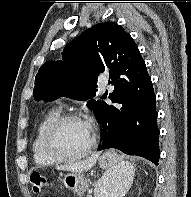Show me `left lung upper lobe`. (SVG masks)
Instances as JSON below:
<instances>
[{
	"label": "left lung upper lobe",
	"mask_w": 191,
	"mask_h": 197,
	"mask_svg": "<svg viewBox=\"0 0 191 197\" xmlns=\"http://www.w3.org/2000/svg\"><path fill=\"white\" fill-rule=\"evenodd\" d=\"M62 54L63 61H47L40 67L35 78V100L49 102L61 96L91 99L101 72L109 71L111 77L145 67L132 37L114 22L99 23L85 30L65 46ZM104 104L87 102L96 117Z\"/></svg>",
	"instance_id": "left-lung-upper-lobe-1"
}]
</instances>
